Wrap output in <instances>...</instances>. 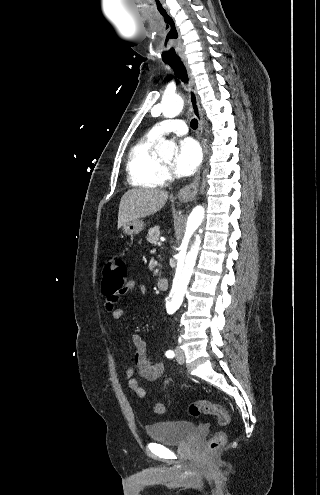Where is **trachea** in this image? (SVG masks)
<instances>
[{
  "label": "trachea",
  "instance_id": "1",
  "mask_svg": "<svg viewBox=\"0 0 320 495\" xmlns=\"http://www.w3.org/2000/svg\"><path fill=\"white\" fill-rule=\"evenodd\" d=\"M167 63L173 68L174 72L182 80V82H184V83L188 82V76H187L185 66L183 65V63L180 60H172V61H169ZM190 126L192 129H197V127H198L197 119H192Z\"/></svg>",
  "mask_w": 320,
  "mask_h": 495
}]
</instances>
